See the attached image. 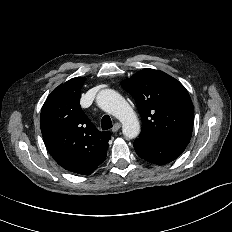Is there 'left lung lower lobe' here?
<instances>
[{"instance_id":"0a47b994","label":"left lung lower lobe","mask_w":232,"mask_h":232,"mask_svg":"<svg viewBox=\"0 0 232 232\" xmlns=\"http://www.w3.org/2000/svg\"><path fill=\"white\" fill-rule=\"evenodd\" d=\"M188 143L189 139L184 138H137L133 145L140 158L153 164L164 165L180 156Z\"/></svg>"}]
</instances>
